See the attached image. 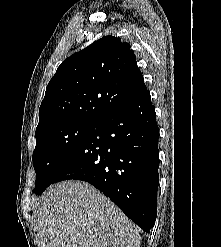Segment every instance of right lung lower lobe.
<instances>
[{
  "label": "right lung lower lobe",
  "instance_id": "obj_1",
  "mask_svg": "<svg viewBox=\"0 0 221 247\" xmlns=\"http://www.w3.org/2000/svg\"><path fill=\"white\" fill-rule=\"evenodd\" d=\"M159 130L149 91L101 120L53 183L89 182L145 232L157 215Z\"/></svg>",
  "mask_w": 221,
  "mask_h": 247
}]
</instances>
